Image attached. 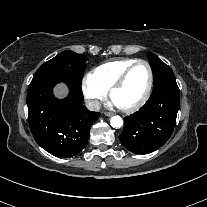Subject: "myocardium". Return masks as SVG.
Instances as JSON below:
<instances>
[{
	"instance_id": "1",
	"label": "myocardium",
	"mask_w": 207,
	"mask_h": 207,
	"mask_svg": "<svg viewBox=\"0 0 207 207\" xmlns=\"http://www.w3.org/2000/svg\"><path fill=\"white\" fill-rule=\"evenodd\" d=\"M139 64H143L146 66L147 71H148V84H147V88L143 94V96L141 97V99L139 101H137L136 103H134L133 105H130L128 107H118L120 111L124 112V113H132L137 111L138 109H140L148 100V98L150 97L152 88H153V84H154V76H153V70L151 65L142 59H137L135 60L133 63H131L121 74L120 76L115 80V82L113 83V85L111 86V88L109 89V97L112 100V97L114 95V93L123 86L127 76L129 75V73L131 72V70L139 65Z\"/></svg>"
}]
</instances>
